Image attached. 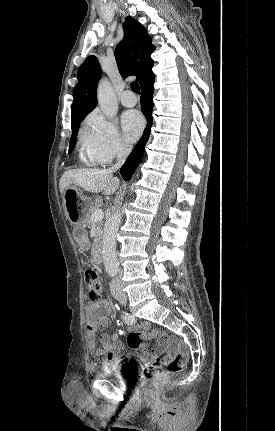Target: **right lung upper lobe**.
<instances>
[{"label": "right lung upper lobe", "instance_id": "right-lung-upper-lobe-1", "mask_svg": "<svg viewBox=\"0 0 275 431\" xmlns=\"http://www.w3.org/2000/svg\"><path fill=\"white\" fill-rule=\"evenodd\" d=\"M123 29L124 38L115 50L119 72L123 77L135 75L142 88L155 78L152 72L154 61L150 57L155 47L147 30L134 18L126 17ZM77 78L72 104V127L80 124L97 105L101 68L95 56L86 58L78 70Z\"/></svg>", "mask_w": 275, "mask_h": 431}]
</instances>
